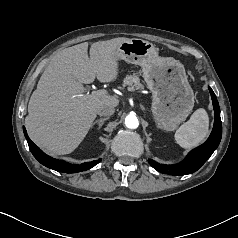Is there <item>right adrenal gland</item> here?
Masks as SVG:
<instances>
[{
    "label": "right adrenal gland",
    "mask_w": 238,
    "mask_h": 238,
    "mask_svg": "<svg viewBox=\"0 0 238 238\" xmlns=\"http://www.w3.org/2000/svg\"><path fill=\"white\" fill-rule=\"evenodd\" d=\"M108 119L109 117L97 119L95 122L92 123V126H94L95 124H98V129H100L103 126L104 122Z\"/></svg>",
    "instance_id": "2a0ac1e0"
}]
</instances>
